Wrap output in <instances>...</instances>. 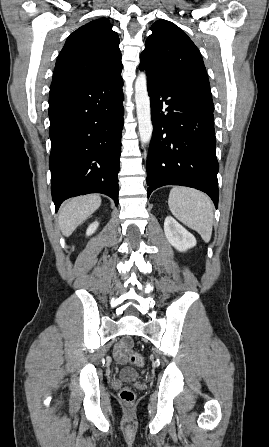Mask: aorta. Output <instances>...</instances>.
<instances>
[{
    "label": "aorta",
    "mask_w": 269,
    "mask_h": 447,
    "mask_svg": "<svg viewBox=\"0 0 269 447\" xmlns=\"http://www.w3.org/2000/svg\"><path fill=\"white\" fill-rule=\"evenodd\" d=\"M135 104L138 120L139 138L142 146L149 144L152 138L153 126L151 122L150 98L147 92L145 72H140L135 82Z\"/></svg>",
    "instance_id": "1"
}]
</instances>
